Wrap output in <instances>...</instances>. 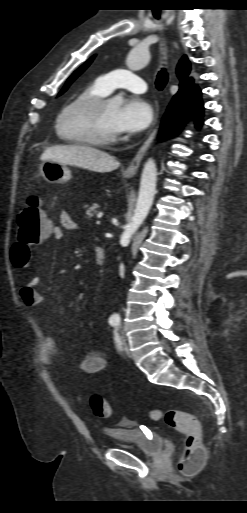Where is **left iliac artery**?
<instances>
[{
  "label": "left iliac artery",
  "mask_w": 247,
  "mask_h": 513,
  "mask_svg": "<svg viewBox=\"0 0 247 513\" xmlns=\"http://www.w3.org/2000/svg\"><path fill=\"white\" fill-rule=\"evenodd\" d=\"M114 333H115V334H114V335H115V336H114V339H115V342H116V344H117V347H118V348H121V341H120V337H119V335H118V333H117V329L115 330V332H114Z\"/></svg>",
  "instance_id": "44dca946"
}]
</instances>
